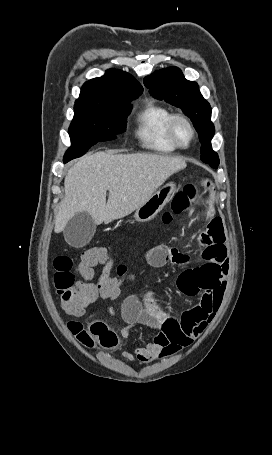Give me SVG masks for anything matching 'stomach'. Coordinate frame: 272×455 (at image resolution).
<instances>
[{
  "label": "stomach",
  "mask_w": 272,
  "mask_h": 455,
  "mask_svg": "<svg viewBox=\"0 0 272 455\" xmlns=\"http://www.w3.org/2000/svg\"><path fill=\"white\" fill-rule=\"evenodd\" d=\"M175 190V182H169L164 185L154 192L142 206L136 209L134 218L139 222L152 220L166 206Z\"/></svg>",
  "instance_id": "obj_1"
}]
</instances>
